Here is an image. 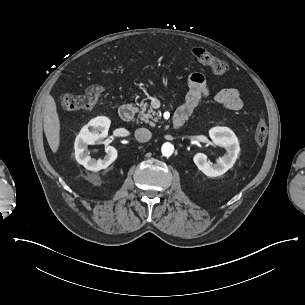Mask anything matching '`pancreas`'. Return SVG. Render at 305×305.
Returning a JSON list of instances; mask_svg holds the SVG:
<instances>
[{"mask_svg": "<svg viewBox=\"0 0 305 305\" xmlns=\"http://www.w3.org/2000/svg\"><path fill=\"white\" fill-rule=\"evenodd\" d=\"M139 106L141 109L139 110L138 118L141 121H144L145 123H148L150 126L154 127L155 122H158V120H159L160 113L154 111L152 108H150L147 111V108H148L147 103H140Z\"/></svg>", "mask_w": 305, "mask_h": 305, "instance_id": "obj_1", "label": "pancreas"}]
</instances>
